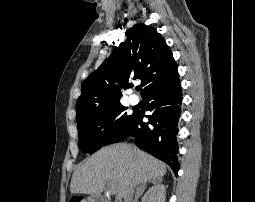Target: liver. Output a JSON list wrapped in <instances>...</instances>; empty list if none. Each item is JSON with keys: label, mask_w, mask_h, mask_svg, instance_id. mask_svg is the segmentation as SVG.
Instances as JSON below:
<instances>
[{"label": "liver", "mask_w": 255, "mask_h": 202, "mask_svg": "<svg viewBox=\"0 0 255 202\" xmlns=\"http://www.w3.org/2000/svg\"><path fill=\"white\" fill-rule=\"evenodd\" d=\"M166 171L162 161L132 145L117 143L101 148L77 167L70 192L98 196L110 182L121 200L131 187L160 178Z\"/></svg>", "instance_id": "obj_1"}]
</instances>
